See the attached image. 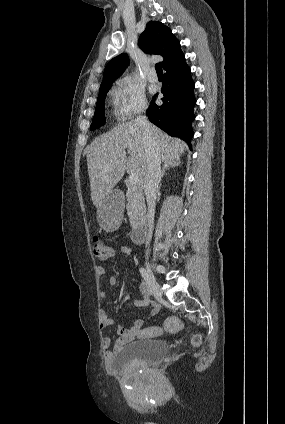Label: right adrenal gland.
Wrapping results in <instances>:
<instances>
[{"mask_svg": "<svg viewBox=\"0 0 285 424\" xmlns=\"http://www.w3.org/2000/svg\"><path fill=\"white\" fill-rule=\"evenodd\" d=\"M181 164L180 160L178 158L176 159H171L169 161L164 162L162 171H161V178L164 176L165 171L167 169H169L170 167H176L179 166Z\"/></svg>", "mask_w": 285, "mask_h": 424, "instance_id": "right-adrenal-gland-1", "label": "right adrenal gland"}]
</instances>
